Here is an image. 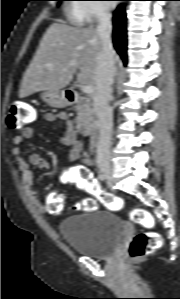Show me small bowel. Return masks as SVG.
<instances>
[{"mask_svg": "<svg viewBox=\"0 0 180 299\" xmlns=\"http://www.w3.org/2000/svg\"><path fill=\"white\" fill-rule=\"evenodd\" d=\"M44 119L48 123H58L64 130L62 136V143L70 147L67 163L76 162L81 156H83L84 162L87 164L90 162L88 152L84 149L83 143L79 140L78 132L75 123L68 117L65 112L46 113ZM35 128L33 126L25 127L21 134L16 135L13 138V144L15 145L12 153L18 161V167L22 174L23 188L32 203V205L40 212L45 211V206L40 202L38 194L34 189L33 174L31 166L38 167L40 169L50 168L49 161L42 155L34 153L29 156L28 159L23 157V151L20 147L22 142L26 139H30L35 135ZM85 165H76L69 168V170L61 177V182L67 186L77 185L78 177L85 173Z\"/></svg>", "mask_w": 180, "mask_h": 299, "instance_id": "c3829d8e", "label": "small bowel"}]
</instances>
